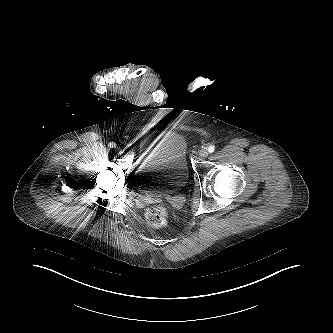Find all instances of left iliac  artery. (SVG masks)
Segmentation results:
<instances>
[{"label":"left iliac artery","mask_w":333,"mask_h":333,"mask_svg":"<svg viewBox=\"0 0 333 333\" xmlns=\"http://www.w3.org/2000/svg\"><path fill=\"white\" fill-rule=\"evenodd\" d=\"M214 150H215V147L213 145H211V146L208 147V151L210 153L214 152Z\"/></svg>","instance_id":"44dca946"}]
</instances>
